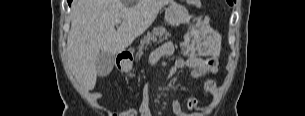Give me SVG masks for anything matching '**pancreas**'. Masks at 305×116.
Listing matches in <instances>:
<instances>
[{
	"instance_id": "pancreas-1",
	"label": "pancreas",
	"mask_w": 305,
	"mask_h": 116,
	"mask_svg": "<svg viewBox=\"0 0 305 116\" xmlns=\"http://www.w3.org/2000/svg\"><path fill=\"white\" fill-rule=\"evenodd\" d=\"M169 37H171V34L165 29V27H155L152 32H148L147 35L144 36L143 40L140 41L136 58H141L145 46L152 42L167 40Z\"/></svg>"
}]
</instances>
